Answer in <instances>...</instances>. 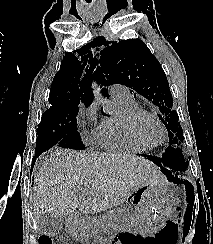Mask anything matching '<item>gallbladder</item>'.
I'll return each instance as SVG.
<instances>
[{
	"label": "gallbladder",
	"mask_w": 213,
	"mask_h": 244,
	"mask_svg": "<svg viewBox=\"0 0 213 244\" xmlns=\"http://www.w3.org/2000/svg\"><path fill=\"white\" fill-rule=\"evenodd\" d=\"M63 222V217H56L46 213L38 221V231L51 237L57 236L62 230Z\"/></svg>",
	"instance_id": "obj_1"
}]
</instances>
